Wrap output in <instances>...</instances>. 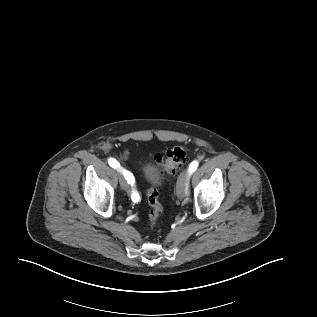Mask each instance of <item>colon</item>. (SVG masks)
Here are the masks:
<instances>
[{"instance_id":"5ec220e1","label":"colon","mask_w":317,"mask_h":317,"mask_svg":"<svg viewBox=\"0 0 317 317\" xmlns=\"http://www.w3.org/2000/svg\"><path fill=\"white\" fill-rule=\"evenodd\" d=\"M155 161L161 170L167 174H175L177 170L186 162V151L181 146H175L165 153V156L157 154ZM147 200L150 206L148 215V225L154 228L158 218L162 214L163 207L159 201V194L155 188L146 191Z\"/></svg>"}]
</instances>
